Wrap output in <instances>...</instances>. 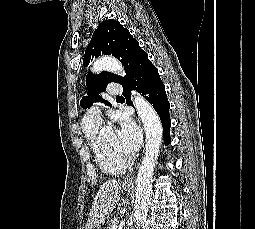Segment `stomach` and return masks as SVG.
<instances>
[{"mask_svg":"<svg viewBox=\"0 0 255 229\" xmlns=\"http://www.w3.org/2000/svg\"><path fill=\"white\" fill-rule=\"evenodd\" d=\"M125 189L130 190V187L125 186ZM92 229H102V228H101V225H97V226L93 227Z\"/></svg>","mask_w":255,"mask_h":229,"instance_id":"1","label":"stomach"}]
</instances>
